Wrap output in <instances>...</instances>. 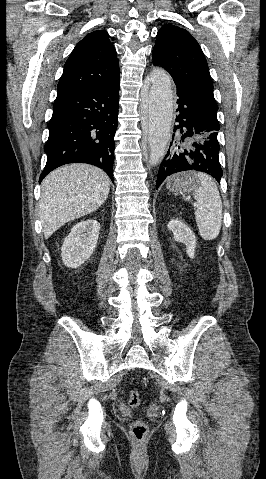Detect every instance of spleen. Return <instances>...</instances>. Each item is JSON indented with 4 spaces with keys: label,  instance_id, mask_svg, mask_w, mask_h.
Returning <instances> with one entry per match:
<instances>
[{
    "label": "spleen",
    "instance_id": "spleen-1",
    "mask_svg": "<svg viewBox=\"0 0 266 479\" xmlns=\"http://www.w3.org/2000/svg\"><path fill=\"white\" fill-rule=\"evenodd\" d=\"M195 175L200 181L199 186L193 189V197L198 204L195 210L196 223L200 236L205 241L214 240L219 235L222 224L221 197L212 177L205 173Z\"/></svg>",
    "mask_w": 266,
    "mask_h": 479
}]
</instances>
